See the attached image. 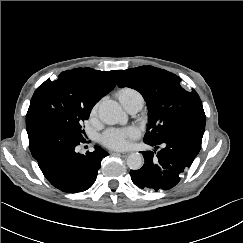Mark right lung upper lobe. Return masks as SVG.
I'll use <instances>...</instances> for the list:
<instances>
[{
    "instance_id": "right-lung-upper-lobe-1",
    "label": "right lung upper lobe",
    "mask_w": 243,
    "mask_h": 243,
    "mask_svg": "<svg viewBox=\"0 0 243 243\" xmlns=\"http://www.w3.org/2000/svg\"><path fill=\"white\" fill-rule=\"evenodd\" d=\"M120 70L98 71L92 68H77L62 72L54 82L63 91L81 104L93 106L116 85Z\"/></svg>"
}]
</instances>
